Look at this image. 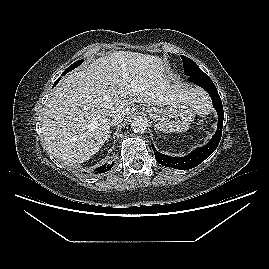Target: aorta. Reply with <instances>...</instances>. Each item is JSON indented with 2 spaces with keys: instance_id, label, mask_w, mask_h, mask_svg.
<instances>
[{
  "instance_id": "762f6f07",
  "label": "aorta",
  "mask_w": 269,
  "mask_h": 269,
  "mask_svg": "<svg viewBox=\"0 0 269 269\" xmlns=\"http://www.w3.org/2000/svg\"><path fill=\"white\" fill-rule=\"evenodd\" d=\"M148 120L143 116H136L131 122V128L135 133H144L148 129Z\"/></svg>"
}]
</instances>
